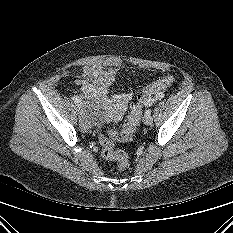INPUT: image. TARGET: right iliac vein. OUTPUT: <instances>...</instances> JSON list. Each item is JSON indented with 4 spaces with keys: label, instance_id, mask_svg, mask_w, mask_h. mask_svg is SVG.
Returning a JSON list of instances; mask_svg holds the SVG:
<instances>
[{
    "label": "right iliac vein",
    "instance_id": "obj_1",
    "mask_svg": "<svg viewBox=\"0 0 233 233\" xmlns=\"http://www.w3.org/2000/svg\"><path fill=\"white\" fill-rule=\"evenodd\" d=\"M79 105H80V104H79ZM79 105H78V106H79ZM77 111H78V114H79L80 116H82V117L85 116L84 111L81 109V107H78V110H77Z\"/></svg>",
    "mask_w": 233,
    "mask_h": 233
}]
</instances>
